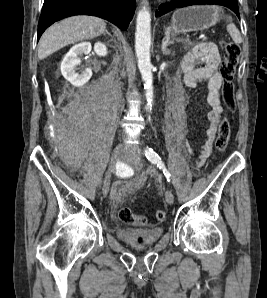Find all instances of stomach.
<instances>
[{
	"instance_id": "1",
	"label": "stomach",
	"mask_w": 267,
	"mask_h": 298,
	"mask_svg": "<svg viewBox=\"0 0 267 298\" xmlns=\"http://www.w3.org/2000/svg\"><path fill=\"white\" fill-rule=\"evenodd\" d=\"M222 11L215 6L196 5L177 10L168 30L173 34L202 31L215 25L222 18Z\"/></svg>"
}]
</instances>
